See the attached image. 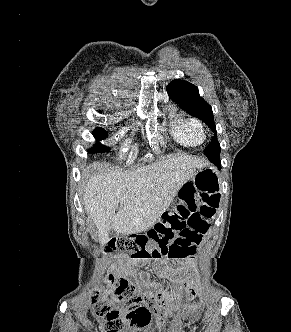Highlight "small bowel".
I'll use <instances>...</instances> for the list:
<instances>
[{
    "mask_svg": "<svg viewBox=\"0 0 291 332\" xmlns=\"http://www.w3.org/2000/svg\"><path fill=\"white\" fill-rule=\"evenodd\" d=\"M192 188H194L193 184L187 183L182 187L181 192ZM120 262L126 273L133 276L140 283L143 298L149 303H156L153 304L152 307L156 312V328L158 331H161L163 319L166 316L167 306L169 303L176 302L177 297L162 291L157 284L150 281L148 273L137 269V267L142 266V260H131L126 256H121ZM153 267L163 275L170 276L173 274V270L164 260L155 261Z\"/></svg>",
    "mask_w": 291,
    "mask_h": 332,
    "instance_id": "small-bowel-1",
    "label": "small bowel"
}]
</instances>
